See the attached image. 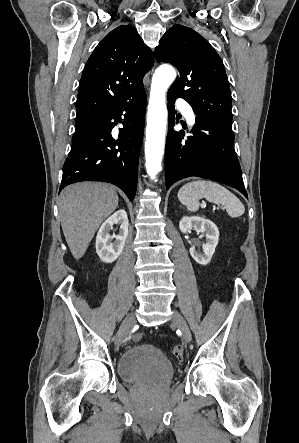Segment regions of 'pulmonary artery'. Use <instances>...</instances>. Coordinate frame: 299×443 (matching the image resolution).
Listing matches in <instances>:
<instances>
[{
	"mask_svg": "<svg viewBox=\"0 0 299 443\" xmlns=\"http://www.w3.org/2000/svg\"><path fill=\"white\" fill-rule=\"evenodd\" d=\"M178 106L187 122L193 125L196 121V116L191 108V106L183 99L178 100Z\"/></svg>",
	"mask_w": 299,
	"mask_h": 443,
	"instance_id": "obj_1",
	"label": "pulmonary artery"
}]
</instances>
